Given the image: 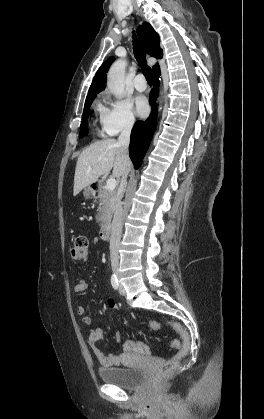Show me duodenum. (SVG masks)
Returning a JSON list of instances; mask_svg holds the SVG:
<instances>
[{
	"mask_svg": "<svg viewBox=\"0 0 264 419\" xmlns=\"http://www.w3.org/2000/svg\"><path fill=\"white\" fill-rule=\"evenodd\" d=\"M112 234V224L106 223L102 226L100 230L101 238L104 240H108Z\"/></svg>",
	"mask_w": 264,
	"mask_h": 419,
	"instance_id": "duodenum-1",
	"label": "duodenum"
}]
</instances>
